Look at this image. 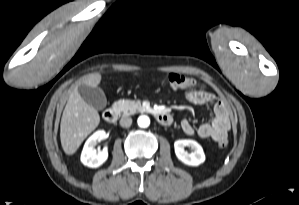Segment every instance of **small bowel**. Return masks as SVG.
<instances>
[{"label": "small bowel", "instance_id": "c3829d8e", "mask_svg": "<svg viewBox=\"0 0 299 205\" xmlns=\"http://www.w3.org/2000/svg\"><path fill=\"white\" fill-rule=\"evenodd\" d=\"M184 97L190 103L197 105L207 104L215 100V95L204 85L195 89H186ZM181 128L186 135L197 134L200 138H211L218 142L227 138L230 129L228 109L222 101H216L211 122L203 123L195 128L189 120L184 119L181 122Z\"/></svg>", "mask_w": 299, "mask_h": 205}]
</instances>
